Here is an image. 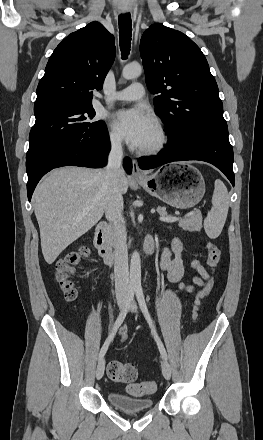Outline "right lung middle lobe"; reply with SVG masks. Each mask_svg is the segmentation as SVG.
<instances>
[{
	"instance_id": "right-lung-middle-lobe-1",
	"label": "right lung middle lobe",
	"mask_w": 263,
	"mask_h": 440,
	"mask_svg": "<svg viewBox=\"0 0 263 440\" xmlns=\"http://www.w3.org/2000/svg\"><path fill=\"white\" fill-rule=\"evenodd\" d=\"M34 114L36 121L30 131L26 159L59 141L98 135L106 129L102 120H92V104H55L34 108Z\"/></svg>"
}]
</instances>
